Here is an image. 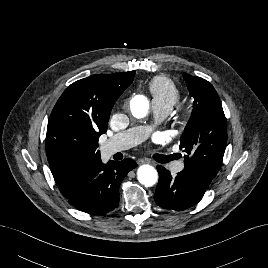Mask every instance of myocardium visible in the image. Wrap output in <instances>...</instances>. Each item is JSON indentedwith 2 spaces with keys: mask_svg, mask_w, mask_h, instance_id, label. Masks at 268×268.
<instances>
[{
  "mask_svg": "<svg viewBox=\"0 0 268 268\" xmlns=\"http://www.w3.org/2000/svg\"><path fill=\"white\" fill-rule=\"evenodd\" d=\"M192 107L190 105H182L179 108L178 118L180 120L188 119L191 116Z\"/></svg>",
  "mask_w": 268,
  "mask_h": 268,
  "instance_id": "f54148a6",
  "label": "myocardium"
}]
</instances>
